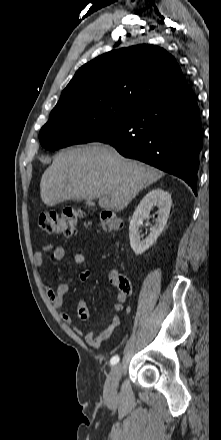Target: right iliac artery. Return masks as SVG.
<instances>
[{
    "label": "right iliac artery",
    "instance_id": "82829eb1",
    "mask_svg": "<svg viewBox=\"0 0 221 440\" xmlns=\"http://www.w3.org/2000/svg\"><path fill=\"white\" fill-rule=\"evenodd\" d=\"M118 362H119V356L118 355H115L114 357L111 358V361H110L111 365H114V364H116Z\"/></svg>",
    "mask_w": 221,
    "mask_h": 440
}]
</instances>
